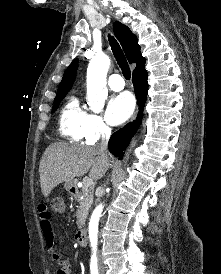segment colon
Segmentation results:
<instances>
[{"label": "colon", "instance_id": "1", "mask_svg": "<svg viewBox=\"0 0 221 274\" xmlns=\"http://www.w3.org/2000/svg\"><path fill=\"white\" fill-rule=\"evenodd\" d=\"M49 204L55 213H62L66 206L65 199L61 196L51 198Z\"/></svg>", "mask_w": 221, "mask_h": 274}]
</instances>
